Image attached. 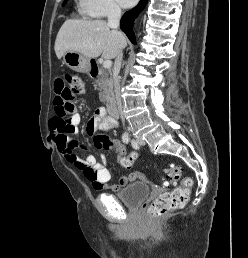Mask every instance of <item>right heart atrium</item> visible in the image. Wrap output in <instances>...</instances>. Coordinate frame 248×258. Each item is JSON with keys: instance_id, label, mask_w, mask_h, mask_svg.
I'll list each match as a JSON object with an SVG mask.
<instances>
[{"instance_id": "obj_1", "label": "right heart atrium", "mask_w": 248, "mask_h": 258, "mask_svg": "<svg viewBox=\"0 0 248 258\" xmlns=\"http://www.w3.org/2000/svg\"><path fill=\"white\" fill-rule=\"evenodd\" d=\"M79 12L90 18H103L118 14L120 8L116 0H79Z\"/></svg>"}]
</instances>
